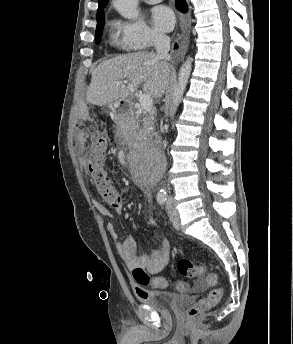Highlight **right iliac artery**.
<instances>
[{
    "label": "right iliac artery",
    "instance_id": "82829eb1",
    "mask_svg": "<svg viewBox=\"0 0 293 344\" xmlns=\"http://www.w3.org/2000/svg\"><path fill=\"white\" fill-rule=\"evenodd\" d=\"M157 201L160 205H163L166 201V197L164 195L157 196Z\"/></svg>",
    "mask_w": 293,
    "mask_h": 344
}]
</instances>
